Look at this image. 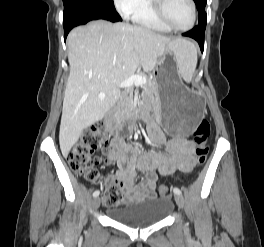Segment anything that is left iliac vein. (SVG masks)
I'll return each instance as SVG.
<instances>
[{"label":"left iliac vein","instance_id":"1","mask_svg":"<svg viewBox=\"0 0 264 247\" xmlns=\"http://www.w3.org/2000/svg\"><path fill=\"white\" fill-rule=\"evenodd\" d=\"M175 201H176V203H177V205H178L179 207H181V208L184 207L185 200H184V198H183L182 195H180V194H176V195H175Z\"/></svg>","mask_w":264,"mask_h":247}]
</instances>
